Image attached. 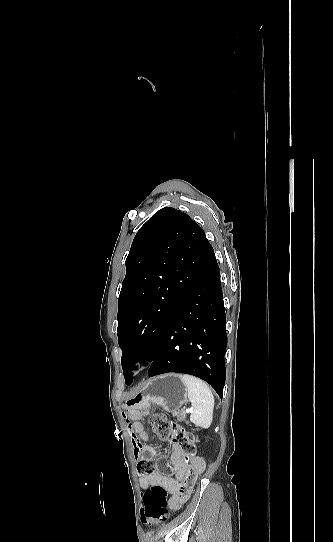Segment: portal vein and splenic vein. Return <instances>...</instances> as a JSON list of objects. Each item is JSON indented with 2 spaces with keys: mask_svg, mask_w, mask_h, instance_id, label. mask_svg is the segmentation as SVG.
<instances>
[{
  "mask_svg": "<svg viewBox=\"0 0 333 542\" xmlns=\"http://www.w3.org/2000/svg\"><path fill=\"white\" fill-rule=\"evenodd\" d=\"M185 412H192V408H189V410H185Z\"/></svg>",
  "mask_w": 333,
  "mask_h": 542,
  "instance_id": "18ae733b",
  "label": "portal vein and splenic vein"
}]
</instances>
